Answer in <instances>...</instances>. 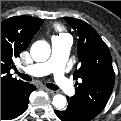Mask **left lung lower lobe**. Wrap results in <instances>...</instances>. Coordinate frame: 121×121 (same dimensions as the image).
<instances>
[{
	"label": "left lung lower lobe",
	"instance_id": "obj_1",
	"mask_svg": "<svg viewBox=\"0 0 121 121\" xmlns=\"http://www.w3.org/2000/svg\"><path fill=\"white\" fill-rule=\"evenodd\" d=\"M55 113L62 121H90L95 117L81 111L70 103L65 111L55 110Z\"/></svg>",
	"mask_w": 121,
	"mask_h": 121
}]
</instances>
